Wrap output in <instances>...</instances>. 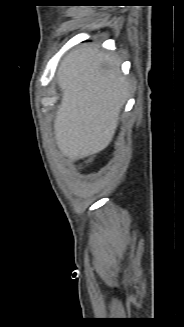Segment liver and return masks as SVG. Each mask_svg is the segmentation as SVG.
Wrapping results in <instances>:
<instances>
[{
	"instance_id": "6515ba94",
	"label": "liver",
	"mask_w": 184,
	"mask_h": 327,
	"mask_svg": "<svg viewBox=\"0 0 184 327\" xmlns=\"http://www.w3.org/2000/svg\"><path fill=\"white\" fill-rule=\"evenodd\" d=\"M120 62L97 47L69 53L58 70L61 104L54 120L58 148L68 158L99 153L113 139L128 98Z\"/></svg>"
}]
</instances>
